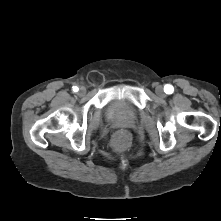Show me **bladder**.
Listing matches in <instances>:
<instances>
[{
	"instance_id": "1",
	"label": "bladder",
	"mask_w": 221,
	"mask_h": 221,
	"mask_svg": "<svg viewBox=\"0 0 221 221\" xmlns=\"http://www.w3.org/2000/svg\"><path fill=\"white\" fill-rule=\"evenodd\" d=\"M109 118H130L135 115V111L124 101L114 100L107 107Z\"/></svg>"
}]
</instances>
